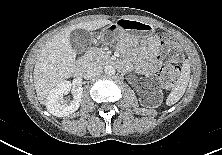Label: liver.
Returning a JSON list of instances; mask_svg holds the SVG:
<instances>
[{"instance_id":"1","label":"liver","mask_w":222,"mask_h":155,"mask_svg":"<svg viewBox=\"0 0 222 155\" xmlns=\"http://www.w3.org/2000/svg\"><path fill=\"white\" fill-rule=\"evenodd\" d=\"M111 23L107 19L78 23L65 28L45 44L33 72L35 90L41 104L46 105L50 91L72 77L76 70V52L70 43L71 33L76 29L94 31Z\"/></svg>"}]
</instances>
